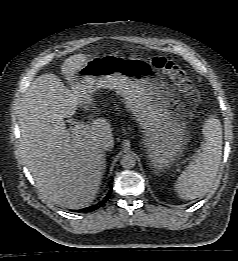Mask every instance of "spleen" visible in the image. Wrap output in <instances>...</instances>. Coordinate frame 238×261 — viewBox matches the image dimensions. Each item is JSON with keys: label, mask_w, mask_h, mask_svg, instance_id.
Here are the masks:
<instances>
[{"label": "spleen", "mask_w": 238, "mask_h": 261, "mask_svg": "<svg viewBox=\"0 0 238 261\" xmlns=\"http://www.w3.org/2000/svg\"><path fill=\"white\" fill-rule=\"evenodd\" d=\"M202 134V151L180 174L175 189L181 199L203 197L213 186L222 156V126L219 119H206Z\"/></svg>", "instance_id": "obj_1"}]
</instances>
